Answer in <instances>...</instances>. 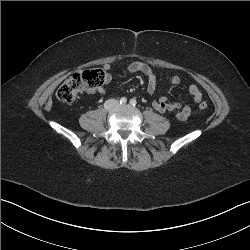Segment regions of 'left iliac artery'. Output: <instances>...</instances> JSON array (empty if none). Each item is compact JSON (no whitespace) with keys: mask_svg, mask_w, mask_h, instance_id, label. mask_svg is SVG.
Wrapping results in <instances>:
<instances>
[{"mask_svg":"<svg viewBox=\"0 0 250 250\" xmlns=\"http://www.w3.org/2000/svg\"><path fill=\"white\" fill-rule=\"evenodd\" d=\"M130 104L133 105V106H135V105L137 104V102H136L135 99H131V100H130Z\"/></svg>","mask_w":250,"mask_h":250,"instance_id":"1","label":"left iliac artery"}]
</instances>
